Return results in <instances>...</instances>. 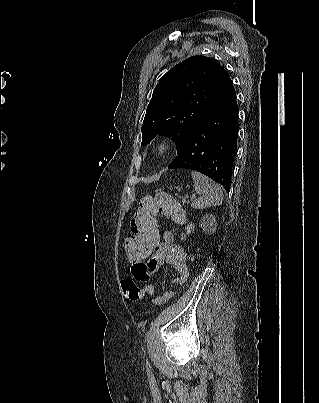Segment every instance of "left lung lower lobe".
<instances>
[{"label":"left lung lower lobe","instance_id":"0a47b994","mask_svg":"<svg viewBox=\"0 0 319 403\" xmlns=\"http://www.w3.org/2000/svg\"><path fill=\"white\" fill-rule=\"evenodd\" d=\"M237 136L238 106L229 78L198 122L184 151L168 168L199 171L229 192Z\"/></svg>","mask_w":319,"mask_h":403}]
</instances>
